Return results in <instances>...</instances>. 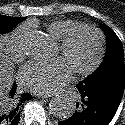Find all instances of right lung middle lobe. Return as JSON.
<instances>
[{"label":"right lung middle lobe","mask_w":125,"mask_h":125,"mask_svg":"<svg viewBox=\"0 0 125 125\" xmlns=\"http://www.w3.org/2000/svg\"><path fill=\"white\" fill-rule=\"evenodd\" d=\"M26 17H10L0 15V33L4 34L13 29L16 25L24 21ZM3 102L1 107L10 106L13 103V100L9 97L2 98Z\"/></svg>","instance_id":"dd1d6c3e"}]
</instances>
